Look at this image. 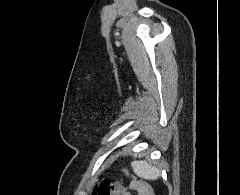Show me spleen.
<instances>
[{"label":"spleen","instance_id":"3e777b00","mask_svg":"<svg viewBox=\"0 0 240 195\" xmlns=\"http://www.w3.org/2000/svg\"><path fill=\"white\" fill-rule=\"evenodd\" d=\"M131 165L136 175L143 177V179H157L160 175V169L148 161H132Z\"/></svg>","mask_w":240,"mask_h":195}]
</instances>
